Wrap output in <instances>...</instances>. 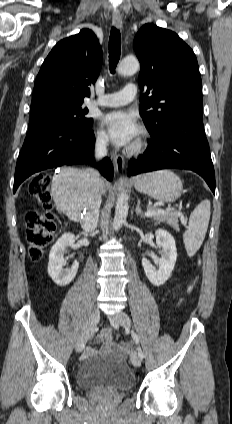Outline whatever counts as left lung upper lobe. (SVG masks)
Instances as JSON below:
<instances>
[{"mask_svg": "<svg viewBox=\"0 0 232 424\" xmlns=\"http://www.w3.org/2000/svg\"><path fill=\"white\" fill-rule=\"evenodd\" d=\"M134 49L141 64L139 85L147 87L140 115L151 134L173 117L202 114V82L192 49L174 32L153 24L140 28ZM152 96L147 97L149 91Z\"/></svg>", "mask_w": 232, "mask_h": 424, "instance_id": "obj_1", "label": "left lung upper lobe"}]
</instances>
